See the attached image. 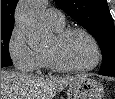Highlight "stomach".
<instances>
[{"label": "stomach", "instance_id": "obj_1", "mask_svg": "<svg viewBox=\"0 0 115 99\" xmlns=\"http://www.w3.org/2000/svg\"><path fill=\"white\" fill-rule=\"evenodd\" d=\"M67 97L68 99H104V87L97 80L81 77L69 85Z\"/></svg>", "mask_w": 115, "mask_h": 99}]
</instances>
